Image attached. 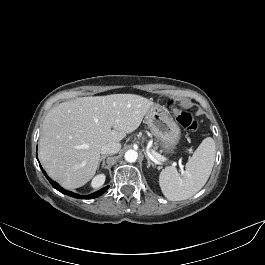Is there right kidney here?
I'll return each instance as SVG.
<instances>
[{
  "label": "right kidney",
  "mask_w": 265,
  "mask_h": 265,
  "mask_svg": "<svg viewBox=\"0 0 265 265\" xmlns=\"http://www.w3.org/2000/svg\"><path fill=\"white\" fill-rule=\"evenodd\" d=\"M104 182H105V175L99 174L92 180L91 186L93 188H99L104 184Z\"/></svg>",
  "instance_id": "right-kidney-1"
}]
</instances>
